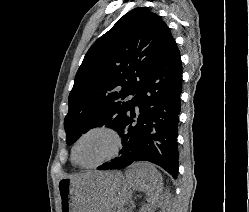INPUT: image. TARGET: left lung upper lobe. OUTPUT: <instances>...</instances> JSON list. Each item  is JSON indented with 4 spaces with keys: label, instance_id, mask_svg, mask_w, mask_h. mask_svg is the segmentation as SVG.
<instances>
[{
    "label": "left lung upper lobe",
    "instance_id": "5c2ea615",
    "mask_svg": "<svg viewBox=\"0 0 249 212\" xmlns=\"http://www.w3.org/2000/svg\"><path fill=\"white\" fill-rule=\"evenodd\" d=\"M174 39L161 18L147 8L126 13L88 50L75 76L65 117L66 142L89 129L117 132L149 71Z\"/></svg>",
    "mask_w": 249,
    "mask_h": 212
}]
</instances>
